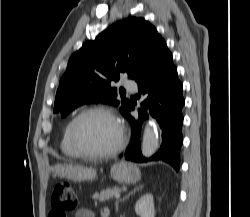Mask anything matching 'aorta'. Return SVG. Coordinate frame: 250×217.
Instances as JSON below:
<instances>
[{"mask_svg": "<svg viewBox=\"0 0 250 217\" xmlns=\"http://www.w3.org/2000/svg\"><path fill=\"white\" fill-rule=\"evenodd\" d=\"M159 135L157 126L154 123H150L145 127L141 151L143 156L150 157L158 149Z\"/></svg>", "mask_w": 250, "mask_h": 217, "instance_id": "1", "label": "aorta"}]
</instances>
